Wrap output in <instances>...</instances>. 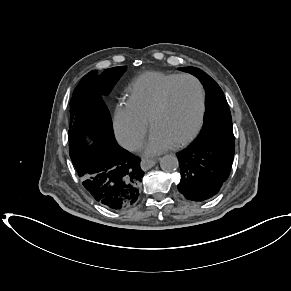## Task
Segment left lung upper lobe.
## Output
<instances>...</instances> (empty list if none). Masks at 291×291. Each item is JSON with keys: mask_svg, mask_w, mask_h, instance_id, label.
I'll return each instance as SVG.
<instances>
[{"mask_svg": "<svg viewBox=\"0 0 291 291\" xmlns=\"http://www.w3.org/2000/svg\"><path fill=\"white\" fill-rule=\"evenodd\" d=\"M179 69L196 76L207 91L205 122L195 141L235 146L229 106L219 85L198 68L183 67Z\"/></svg>", "mask_w": 291, "mask_h": 291, "instance_id": "left-lung-upper-lobe-1", "label": "left lung upper lobe"}]
</instances>
